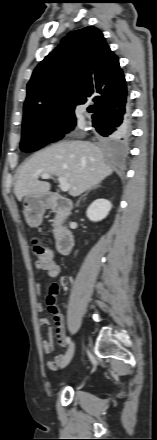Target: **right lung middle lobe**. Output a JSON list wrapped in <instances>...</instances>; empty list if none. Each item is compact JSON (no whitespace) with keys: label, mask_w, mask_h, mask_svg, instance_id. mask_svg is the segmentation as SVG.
<instances>
[{"label":"right lung middle lobe","mask_w":157,"mask_h":440,"mask_svg":"<svg viewBox=\"0 0 157 440\" xmlns=\"http://www.w3.org/2000/svg\"><path fill=\"white\" fill-rule=\"evenodd\" d=\"M74 121H58L53 123L32 122L22 127L20 149L24 152L38 150L48 143L61 139L65 133L75 126ZM106 142H115L112 137L104 138Z\"/></svg>","instance_id":"1"}]
</instances>
